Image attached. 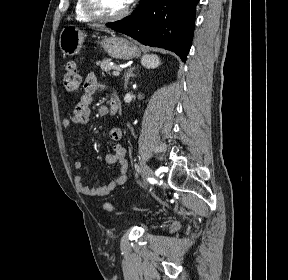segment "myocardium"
I'll use <instances>...</instances> for the list:
<instances>
[{"mask_svg": "<svg viewBox=\"0 0 288 280\" xmlns=\"http://www.w3.org/2000/svg\"><path fill=\"white\" fill-rule=\"evenodd\" d=\"M84 11L91 18L99 21H116L124 18L129 13V7L126 6L124 10L117 14L108 15L103 13L97 6L95 0H82Z\"/></svg>", "mask_w": 288, "mask_h": 280, "instance_id": "myocardium-1", "label": "myocardium"}]
</instances>
